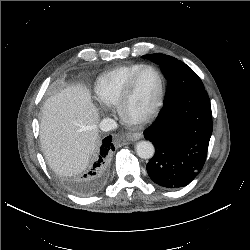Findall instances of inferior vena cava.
I'll return each mask as SVG.
<instances>
[{"mask_svg":"<svg viewBox=\"0 0 250 250\" xmlns=\"http://www.w3.org/2000/svg\"><path fill=\"white\" fill-rule=\"evenodd\" d=\"M99 127L102 131L107 132V131L115 130L117 128V123L115 122V120L111 118H104L100 122Z\"/></svg>","mask_w":250,"mask_h":250,"instance_id":"602c4592","label":"inferior vena cava"}]
</instances>
